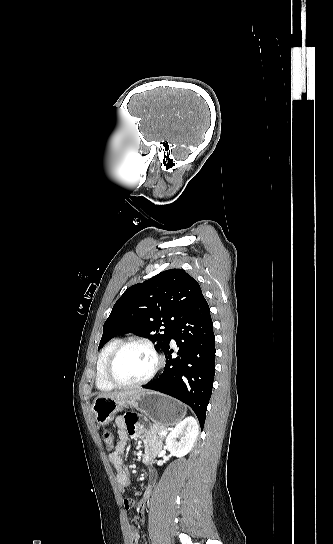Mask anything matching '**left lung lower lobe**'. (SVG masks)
Returning a JSON list of instances; mask_svg holds the SVG:
<instances>
[{"label": "left lung lower lobe", "mask_w": 333, "mask_h": 544, "mask_svg": "<svg viewBox=\"0 0 333 544\" xmlns=\"http://www.w3.org/2000/svg\"><path fill=\"white\" fill-rule=\"evenodd\" d=\"M179 348L172 358L171 340ZM169 345L163 351L166 366L161 376L143 386L170 395L189 405L201 429L212 393L215 374V336L209 305L203 294L176 324Z\"/></svg>", "instance_id": "obj_1"}]
</instances>
